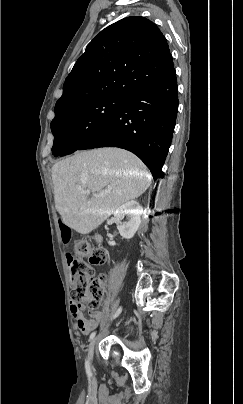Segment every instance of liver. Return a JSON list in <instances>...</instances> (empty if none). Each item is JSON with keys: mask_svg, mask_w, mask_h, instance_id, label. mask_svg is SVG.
Returning a JSON list of instances; mask_svg holds the SVG:
<instances>
[{"mask_svg": "<svg viewBox=\"0 0 243 404\" xmlns=\"http://www.w3.org/2000/svg\"><path fill=\"white\" fill-rule=\"evenodd\" d=\"M132 174V176H130ZM55 208L68 228L90 234L114 210L142 196L152 180L143 162L126 150L76 152L52 168ZM82 190H90L88 200ZM108 192L104 196H96Z\"/></svg>", "mask_w": 243, "mask_h": 404, "instance_id": "1", "label": "liver"}]
</instances>
